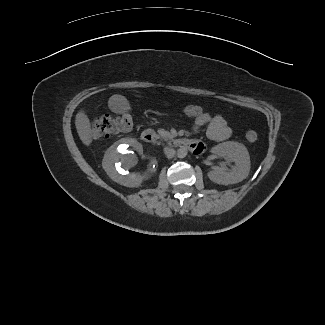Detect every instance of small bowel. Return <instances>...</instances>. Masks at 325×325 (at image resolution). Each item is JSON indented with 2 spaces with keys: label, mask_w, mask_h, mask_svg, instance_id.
<instances>
[{
  "label": "small bowel",
  "mask_w": 325,
  "mask_h": 325,
  "mask_svg": "<svg viewBox=\"0 0 325 325\" xmlns=\"http://www.w3.org/2000/svg\"><path fill=\"white\" fill-rule=\"evenodd\" d=\"M193 119V131L196 132L200 128L207 126L206 135L211 140L223 141L229 138L232 133L226 119L220 114L210 115L205 112L203 118ZM191 148L194 154H198L204 151L205 146L203 143H194Z\"/></svg>",
  "instance_id": "small-bowel-1"
}]
</instances>
